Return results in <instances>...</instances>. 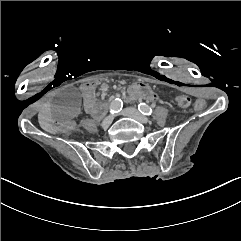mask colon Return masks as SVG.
Listing matches in <instances>:
<instances>
[{
  "mask_svg": "<svg viewBox=\"0 0 241 241\" xmlns=\"http://www.w3.org/2000/svg\"><path fill=\"white\" fill-rule=\"evenodd\" d=\"M176 104L181 107V108H187L190 105V99L185 96H179L175 99ZM191 109L196 112H201V111H207L209 109V102L207 100H201V99H194L191 102ZM85 115V111L83 109H80L77 112V116L79 118H82Z\"/></svg>",
  "mask_w": 241,
  "mask_h": 241,
  "instance_id": "obj_1",
  "label": "colon"
}]
</instances>
